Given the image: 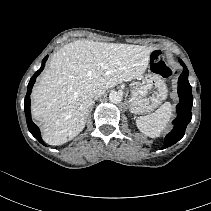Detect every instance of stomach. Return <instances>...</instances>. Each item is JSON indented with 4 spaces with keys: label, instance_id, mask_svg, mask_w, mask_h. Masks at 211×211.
I'll return each instance as SVG.
<instances>
[{
    "label": "stomach",
    "instance_id": "0dacf381",
    "mask_svg": "<svg viewBox=\"0 0 211 211\" xmlns=\"http://www.w3.org/2000/svg\"><path fill=\"white\" fill-rule=\"evenodd\" d=\"M142 83L132 90L130 99L131 111L135 114L150 113L167 98V86L164 78L154 67L141 76Z\"/></svg>",
    "mask_w": 211,
    "mask_h": 211
}]
</instances>
